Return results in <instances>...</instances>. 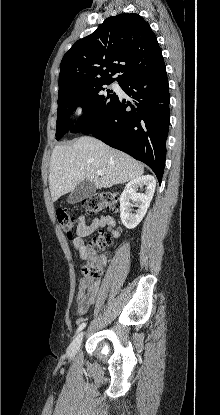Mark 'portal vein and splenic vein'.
Segmentation results:
<instances>
[{"label":"portal vein and splenic vein","instance_id":"1","mask_svg":"<svg viewBox=\"0 0 220 415\" xmlns=\"http://www.w3.org/2000/svg\"><path fill=\"white\" fill-rule=\"evenodd\" d=\"M96 174H97V175H99V176H102V175H103V172H102V171H100V170H98V171L96 172Z\"/></svg>","mask_w":220,"mask_h":415}]
</instances>
